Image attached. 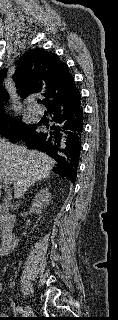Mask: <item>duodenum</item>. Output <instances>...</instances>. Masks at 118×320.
I'll return each mask as SVG.
<instances>
[{"label":"duodenum","mask_w":118,"mask_h":320,"mask_svg":"<svg viewBox=\"0 0 118 320\" xmlns=\"http://www.w3.org/2000/svg\"><path fill=\"white\" fill-rule=\"evenodd\" d=\"M13 218L2 215V241L0 244V255L9 254L17 244V236L13 232Z\"/></svg>","instance_id":"410a0bca"}]
</instances>
